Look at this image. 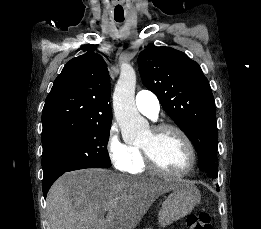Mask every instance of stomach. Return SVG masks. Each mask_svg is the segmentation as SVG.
<instances>
[{"label": "stomach", "mask_w": 261, "mask_h": 229, "mask_svg": "<svg viewBox=\"0 0 261 229\" xmlns=\"http://www.w3.org/2000/svg\"><path fill=\"white\" fill-rule=\"evenodd\" d=\"M173 191L164 201L158 215L161 227L179 221L193 211L200 201V191L192 181L186 179H172Z\"/></svg>", "instance_id": "1"}]
</instances>
